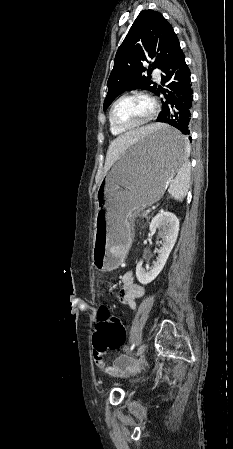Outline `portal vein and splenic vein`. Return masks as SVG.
Masks as SVG:
<instances>
[{"mask_svg": "<svg viewBox=\"0 0 233 449\" xmlns=\"http://www.w3.org/2000/svg\"><path fill=\"white\" fill-rule=\"evenodd\" d=\"M150 211H151V209H147V210H146V213H149Z\"/></svg>", "mask_w": 233, "mask_h": 449, "instance_id": "1", "label": "portal vein and splenic vein"}]
</instances>
